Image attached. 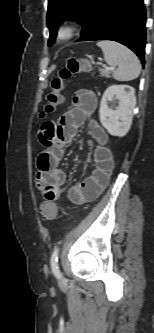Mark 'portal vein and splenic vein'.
Segmentation results:
<instances>
[{
	"label": "portal vein and splenic vein",
	"instance_id": "portal-vein-and-splenic-vein-1",
	"mask_svg": "<svg viewBox=\"0 0 154 333\" xmlns=\"http://www.w3.org/2000/svg\"><path fill=\"white\" fill-rule=\"evenodd\" d=\"M105 69H107V70H114L115 68L114 67H107V66H105Z\"/></svg>",
	"mask_w": 154,
	"mask_h": 333
}]
</instances>
